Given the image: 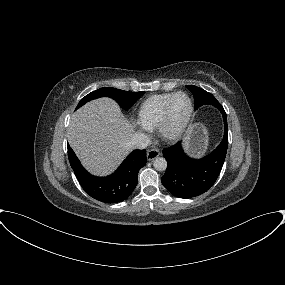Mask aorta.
Instances as JSON below:
<instances>
[{
  "mask_svg": "<svg viewBox=\"0 0 285 285\" xmlns=\"http://www.w3.org/2000/svg\"><path fill=\"white\" fill-rule=\"evenodd\" d=\"M153 166L157 171H164L167 168V161L163 157H158L154 160Z\"/></svg>",
  "mask_w": 285,
  "mask_h": 285,
  "instance_id": "obj_1",
  "label": "aorta"
}]
</instances>
